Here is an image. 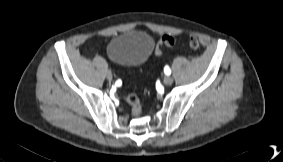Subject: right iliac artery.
Returning a JSON list of instances; mask_svg holds the SVG:
<instances>
[{"label": "right iliac artery", "mask_w": 283, "mask_h": 162, "mask_svg": "<svg viewBox=\"0 0 283 162\" xmlns=\"http://www.w3.org/2000/svg\"><path fill=\"white\" fill-rule=\"evenodd\" d=\"M123 83V79L122 78H119L118 82H117V85H121Z\"/></svg>", "instance_id": "obj_1"}]
</instances>
